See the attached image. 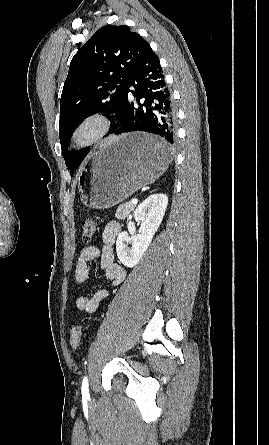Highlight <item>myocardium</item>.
I'll list each match as a JSON object with an SVG mask.
<instances>
[{
    "mask_svg": "<svg viewBox=\"0 0 269 445\" xmlns=\"http://www.w3.org/2000/svg\"><path fill=\"white\" fill-rule=\"evenodd\" d=\"M112 122L102 112H92L83 116L71 133V144L77 150L87 149L98 143L110 132Z\"/></svg>",
    "mask_w": 269,
    "mask_h": 445,
    "instance_id": "obj_1",
    "label": "myocardium"
}]
</instances>
